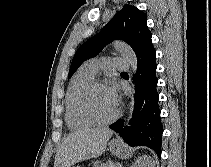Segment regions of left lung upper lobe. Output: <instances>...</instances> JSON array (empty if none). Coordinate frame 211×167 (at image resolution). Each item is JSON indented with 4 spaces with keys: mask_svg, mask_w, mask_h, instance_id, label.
Instances as JSON below:
<instances>
[{
    "mask_svg": "<svg viewBox=\"0 0 211 167\" xmlns=\"http://www.w3.org/2000/svg\"><path fill=\"white\" fill-rule=\"evenodd\" d=\"M147 15L135 6L125 5L95 36L76 51L68 78L85 60L96 56L113 40H123L134 50L138 63L154 50L151 32L147 27Z\"/></svg>",
    "mask_w": 211,
    "mask_h": 167,
    "instance_id": "obj_1",
    "label": "left lung upper lobe"
}]
</instances>
